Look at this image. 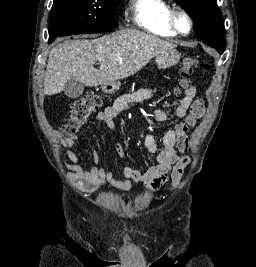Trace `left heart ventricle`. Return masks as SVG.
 <instances>
[{
    "instance_id": "obj_1",
    "label": "left heart ventricle",
    "mask_w": 256,
    "mask_h": 267,
    "mask_svg": "<svg viewBox=\"0 0 256 267\" xmlns=\"http://www.w3.org/2000/svg\"><path fill=\"white\" fill-rule=\"evenodd\" d=\"M178 23L179 26L182 30H186L187 29V22L186 19L182 16V15H178Z\"/></svg>"
}]
</instances>
